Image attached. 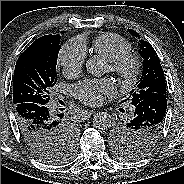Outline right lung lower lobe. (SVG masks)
<instances>
[{"label": "right lung lower lobe", "instance_id": "1", "mask_svg": "<svg viewBox=\"0 0 184 184\" xmlns=\"http://www.w3.org/2000/svg\"><path fill=\"white\" fill-rule=\"evenodd\" d=\"M15 109L19 131L32 152L53 147L62 129L69 125L64 114L53 115L46 104L24 102Z\"/></svg>", "mask_w": 184, "mask_h": 184}]
</instances>
